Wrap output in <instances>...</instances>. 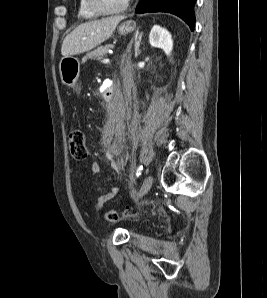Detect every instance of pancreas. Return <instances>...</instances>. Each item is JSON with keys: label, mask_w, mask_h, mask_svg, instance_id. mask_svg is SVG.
<instances>
[{"label": "pancreas", "mask_w": 267, "mask_h": 298, "mask_svg": "<svg viewBox=\"0 0 267 298\" xmlns=\"http://www.w3.org/2000/svg\"><path fill=\"white\" fill-rule=\"evenodd\" d=\"M112 48L111 44H107L105 46H100L97 49L87 53V55L83 58V62L87 59H97L100 60L103 56L107 55L108 51Z\"/></svg>", "instance_id": "1"}]
</instances>
